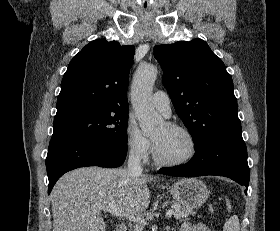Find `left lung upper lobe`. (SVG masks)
I'll return each instance as SVG.
<instances>
[{"mask_svg":"<svg viewBox=\"0 0 280 231\" xmlns=\"http://www.w3.org/2000/svg\"><path fill=\"white\" fill-rule=\"evenodd\" d=\"M154 56L163 68V85L194 145L241 132L231 75L205 41L156 46Z\"/></svg>","mask_w":280,"mask_h":231,"instance_id":"1","label":"left lung upper lobe"}]
</instances>
